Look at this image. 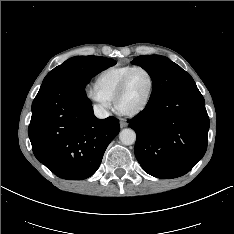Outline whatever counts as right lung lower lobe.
Returning a JSON list of instances; mask_svg holds the SVG:
<instances>
[{
    "label": "right lung lower lobe",
    "instance_id": "1",
    "mask_svg": "<svg viewBox=\"0 0 234 234\" xmlns=\"http://www.w3.org/2000/svg\"><path fill=\"white\" fill-rule=\"evenodd\" d=\"M119 130L116 118L95 117L84 88L70 77L43 83L32 103L28 134L33 153L60 178L93 175Z\"/></svg>",
    "mask_w": 234,
    "mask_h": 234
}]
</instances>
